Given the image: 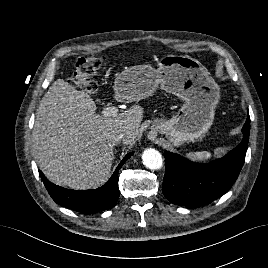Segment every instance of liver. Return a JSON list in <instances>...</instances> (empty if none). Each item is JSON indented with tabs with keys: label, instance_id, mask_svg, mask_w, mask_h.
<instances>
[{
	"label": "liver",
	"instance_id": "liver-1",
	"mask_svg": "<svg viewBox=\"0 0 268 268\" xmlns=\"http://www.w3.org/2000/svg\"><path fill=\"white\" fill-rule=\"evenodd\" d=\"M96 110L87 93L63 79L56 80L40 101L32 134L33 156L51 182L76 190L103 185L114 159L107 132L125 133L124 144L138 134L141 106L115 117H104Z\"/></svg>",
	"mask_w": 268,
	"mask_h": 268
}]
</instances>
